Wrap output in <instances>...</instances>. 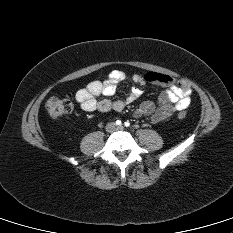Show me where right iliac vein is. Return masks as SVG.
Returning <instances> with one entry per match:
<instances>
[{
  "label": "right iliac vein",
  "instance_id": "right-iliac-vein-1",
  "mask_svg": "<svg viewBox=\"0 0 233 233\" xmlns=\"http://www.w3.org/2000/svg\"><path fill=\"white\" fill-rule=\"evenodd\" d=\"M114 128H115V126H114V124H113V123H109V124L107 125V127H106V129H107V131H108V132L113 131V130H114Z\"/></svg>",
  "mask_w": 233,
  "mask_h": 233
}]
</instances>
